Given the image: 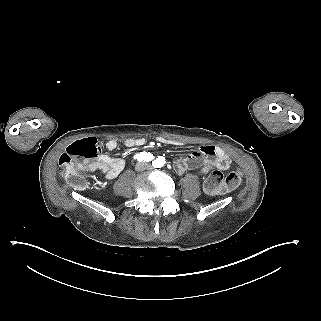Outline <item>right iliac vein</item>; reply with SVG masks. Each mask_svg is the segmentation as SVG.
<instances>
[{
	"label": "right iliac vein",
	"instance_id": "1",
	"mask_svg": "<svg viewBox=\"0 0 321 321\" xmlns=\"http://www.w3.org/2000/svg\"><path fill=\"white\" fill-rule=\"evenodd\" d=\"M144 168H145V165H144L143 163H140V164H137V165H136L135 170H136L137 172H141V171L144 170Z\"/></svg>",
	"mask_w": 321,
	"mask_h": 321
}]
</instances>
